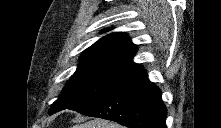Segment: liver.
<instances>
[{
    "label": "liver",
    "mask_w": 221,
    "mask_h": 128,
    "mask_svg": "<svg viewBox=\"0 0 221 128\" xmlns=\"http://www.w3.org/2000/svg\"><path fill=\"white\" fill-rule=\"evenodd\" d=\"M72 128H123L121 125L108 122L103 119H94L79 125H74Z\"/></svg>",
    "instance_id": "liver-1"
}]
</instances>
